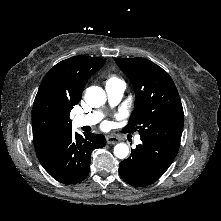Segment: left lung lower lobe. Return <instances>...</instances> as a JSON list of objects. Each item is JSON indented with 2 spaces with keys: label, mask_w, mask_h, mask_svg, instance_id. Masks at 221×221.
<instances>
[{
  "label": "left lung lower lobe",
  "mask_w": 221,
  "mask_h": 221,
  "mask_svg": "<svg viewBox=\"0 0 221 221\" xmlns=\"http://www.w3.org/2000/svg\"><path fill=\"white\" fill-rule=\"evenodd\" d=\"M142 144L133 149L130 157L119 165L124 181L136 187L157 181L169 168L179 150V145L141 137Z\"/></svg>",
  "instance_id": "1"
}]
</instances>
